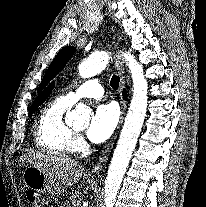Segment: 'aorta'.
<instances>
[{"instance_id":"1","label":"aorta","mask_w":206,"mask_h":207,"mask_svg":"<svg viewBox=\"0 0 206 207\" xmlns=\"http://www.w3.org/2000/svg\"><path fill=\"white\" fill-rule=\"evenodd\" d=\"M123 56L131 71L133 96L108 169L105 181V207L114 206L122 179L143 126L148 103V84L142 66L130 53H124ZM109 58V54L105 51L92 53L79 65L80 76L89 78L97 75L105 69ZM88 119L89 109L83 103H79L67 115L66 122L74 124L88 121Z\"/></svg>"}]
</instances>
